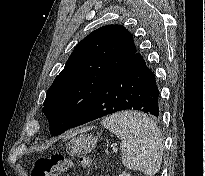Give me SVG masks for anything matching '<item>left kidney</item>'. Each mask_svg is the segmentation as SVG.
<instances>
[{
    "instance_id": "5707ae66",
    "label": "left kidney",
    "mask_w": 205,
    "mask_h": 176,
    "mask_svg": "<svg viewBox=\"0 0 205 176\" xmlns=\"http://www.w3.org/2000/svg\"><path fill=\"white\" fill-rule=\"evenodd\" d=\"M119 176H131L130 174H127V173H122L120 174Z\"/></svg>"
}]
</instances>
